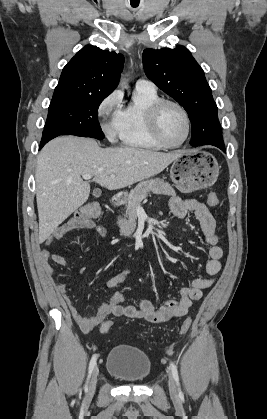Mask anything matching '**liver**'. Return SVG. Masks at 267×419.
<instances>
[{
    "instance_id": "obj_1",
    "label": "liver",
    "mask_w": 267,
    "mask_h": 419,
    "mask_svg": "<svg viewBox=\"0 0 267 419\" xmlns=\"http://www.w3.org/2000/svg\"><path fill=\"white\" fill-rule=\"evenodd\" d=\"M183 153L101 148L94 139L75 136L51 140L39 153L36 166L39 242L49 238L88 200L90 184L83 181L82 175L90 174L102 187L117 190L162 172Z\"/></svg>"
}]
</instances>
